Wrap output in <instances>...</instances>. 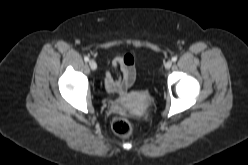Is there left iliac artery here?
<instances>
[{"label": "left iliac artery", "instance_id": "obj_1", "mask_svg": "<svg viewBox=\"0 0 248 165\" xmlns=\"http://www.w3.org/2000/svg\"><path fill=\"white\" fill-rule=\"evenodd\" d=\"M172 61L173 62H176L177 61V57L176 56L172 57Z\"/></svg>", "mask_w": 248, "mask_h": 165}]
</instances>
